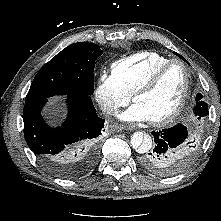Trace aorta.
<instances>
[{
	"mask_svg": "<svg viewBox=\"0 0 221 221\" xmlns=\"http://www.w3.org/2000/svg\"><path fill=\"white\" fill-rule=\"evenodd\" d=\"M131 145L138 153H146L152 147V138L147 133L137 131L131 136Z\"/></svg>",
	"mask_w": 221,
	"mask_h": 221,
	"instance_id": "1",
	"label": "aorta"
}]
</instances>
